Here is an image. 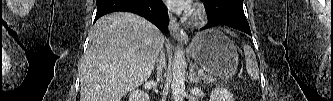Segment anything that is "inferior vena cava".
<instances>
[{
  "mask_svg": "<svg viewBox=\"0 0 333 101\" xmlns=\"http://www.w3.org/2000/svg\"><path fill=\"white\" fill-rule=\"evenodd\" d=\"M157 61H158V65H157V81H159L160 78H161L162 69L165 68V66H166L165 55L162 53L161 56H160V59H158Z\"/></svg>",
  "mask_w": 333,
  "mask_h": 101,
  "instance_id": "obj_1",
  "label": "inferior vena cava"
}]
</instances>
